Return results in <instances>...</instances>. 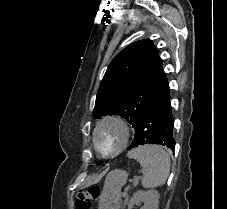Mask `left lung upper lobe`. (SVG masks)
I'll return each instance as SVG.
<instances>
[{"mask_svg": "<svg viewBox=\"0 0 227 209\" xmlns=\"http://www.w3.org/2000/svg\"><path fill=\"white\" fill-rule=\"evenodd\" d=\"M168 86L151 40L136 41L110 63L100 84L93 116L119 115L134 129L147 106Z\"/></svg>", "mask_w": 227, "mask_h": 209, "instance_id": "5c2ea615", "label": "left lung upper lobe"}]
</instances>
